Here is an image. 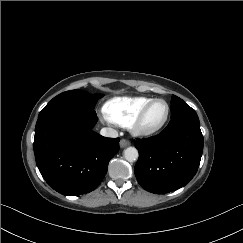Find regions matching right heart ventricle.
Segmentation results:
<instances>
[{
  "mask_svg": "<svg viewBox=\"0 0 243 243\" xmlns=\"http://www.w3.org/2000/svg\"><path fill=\"white\" fill-rule=\"evenodd\" d=\"M153 98L139 97H117L106 102L104 113L113 123L122 127H129L142 108Z\"/></svg>",
  "mask_w": 243,
  "mask_h": 243,
  "instance_id": "right-heart-ventricle-1",
  "label": "right heart ventricle"
}]
</instances>
